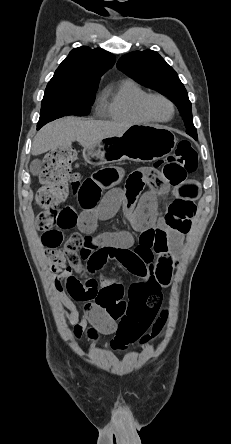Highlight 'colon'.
Here are the masks:
<instances>
[{"instance_id":"5ec220e1","label":"colon","mask_w":231,"mask_h":444,"mask_svg":"<svg viewBox=\"0 0 231 444\" xmlns=\"http://www.w3.org/2000/svg\"><path fill=\"white\" fill-rule=\"evenodd\" d=\"M76 158L72 148H65L48 153L44 160V168L40 176V187L36 195L37 203L43 211L37 216V227L46 232H62L75 226V215L69 208L60 207L67 196L68 185L72 184L77 193L81 183L72 173V164ZM198 167L197 154L188 141L179 143L176 151L165 160L154 163L152 168L134 172L136 176L148 175L150 171H160L163 178L176 188L187 185V176ZM169 226L186 234L190 229V221L195 213L194 203L176 201L170 209ZM69 261L74 265L77 261L75 254H69ZM65 288L71 297L80 299L84 296L83 284L67 268L64 279ZM162 304L161 287L153 283L151 287L130 298L125 313L119 321L115 337L111 341L114 350H123L129 344L138 340L146 342L155 336L162 328L165 313L158 314ZM152 329L151 336L146 335Z\"/></svg>"}]
</instances>
